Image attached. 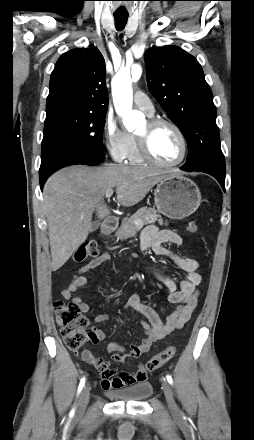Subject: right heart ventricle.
I'll return each instance as SVG.
<instances>
[{
	"mask_svg": "<svg viewBox=\"0 0 254 440\" xmlns=\"http://www.w3.org/2000/svg\"><path fill=\"white\" fill-rule=\"evenodd\" d=\"M128 160L130 163L132 164H143L145 162V160L142 158L139 148H138V143H137V139L134 138V144L133 147L131 149V152L128 156Z\"/></svg>",
	"mask_w": 254,
	"mask_h": 440,
	"instance_id": "e07e8e85",
	"label": "right heart ventricle"
}]
</instances>
